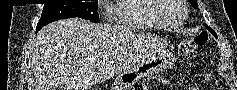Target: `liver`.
Here are the masks:
<instances>
[{
	"instance_id": "liver-1",
	"label": "liver",
	"mask_w": 237,
	"mask_h": 90,
	"mask_svg": "<svg viewBox=\"0 0 237 90\" xmlns=\"http://www.w3.org/2000/svg\"><path fill=\"white\" fill-rule=\"evenodd\" d=\"M120 28L70 18L48 24L36 38L39 90H88L120 70Z\"/></svg>"
}]
</instances>
